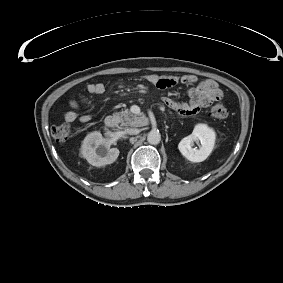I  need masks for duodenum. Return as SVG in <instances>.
Instances as JSON below:
<instances>
[{"label":"duodenum","instance_id":"1","mask_svg":"<svg viewBox=\"0 0 283 283\" xmlns=\"http://www.w3.org/2000/svg\"><path fill=\"white\" fill-rule=\"evenodd\" d=\"M104 123L107 128L112 129L117 125V119L114 116H107Z\"/></svg>","mask_w":283,"mask_h":283}]
</instances>
